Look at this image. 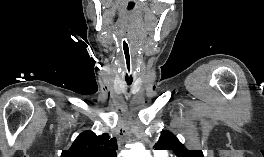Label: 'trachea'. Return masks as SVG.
I'll return each mask as SVG.
<instances>
[{
  "label": "trachea",
  "mask_w": 264,
  "mask_h": 157,
  "mask_svg": "<svg viewBox=\"0 0 264 157\" xmlns=\"http://www.w3.org/2000/svg\"><path fill=\"white\" fill-rule=\"evenodd\" d=\"M122 55H123V77L126 84L130 88V86L134 81V69H133L132 53L128 43H123Z\"/></svg>",
  "instance_id": "1"
}]
</instances>
